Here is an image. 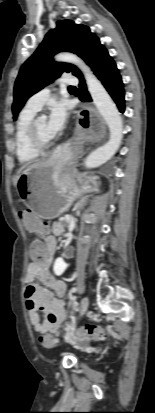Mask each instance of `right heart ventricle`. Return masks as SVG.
Returning a JSON list of instances; mask_svg holds the SVG:
<instances>
[{
    "mask_svg": "<svg viewBox=\"0 0 155 413\" xmlns=\"http://www.w3.org/2000/svg\"><path fill=\"white\" fill-rule=\"evenodd\" d=\"M37 111L25 107L17 120L15 129V152L20 163H30L38 158L40 152L33 149L27 138V130Z\"/></svg>",
    "mask_w": 155,
    "mask_h": 413,
    "instance_id": "1",
    "label": "right heart ventricle"
}]
</instances>
